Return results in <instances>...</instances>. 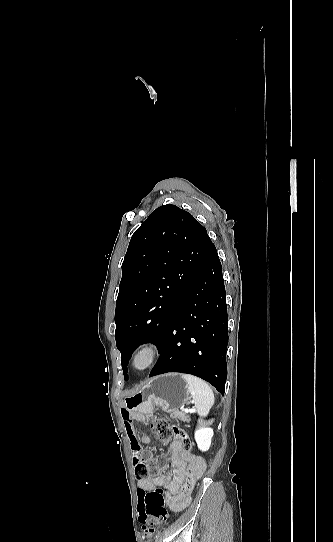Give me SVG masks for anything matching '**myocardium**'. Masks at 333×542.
I'll use <instances>...</instances> for the list:
<instances>
[{"instance_id":"obj_1","label":"myocardium","mask_w":333,"mask_h":542,"mask_svg":"<svg viewBox=\"0 0 333 542\" xmlns=\"http://www.w3.org/2000/svg\"><path fill=\"white\" fill-rule=\"evenodd\" d=\"M161 355L160 346L155 342H145L134 352L130 366L136 373H143L153 367Z\"/></svg>"}]
</instances>
